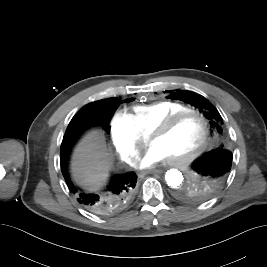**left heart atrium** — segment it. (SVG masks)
I'll return each mask as SVG.
<instances>
[{"mask_svg": "<svg viewBox=\"0 0 267 267\" xmlns=\"http://www.w3.org/2000/svg\"><path fill=\"white\" fill-rule=\"evenodd\" d=\"M167 159V155L159 147L152 146L140 160V166L143 168L152 167Z\"/></svg>", "mask_w": 267, "mask_h": 267, "instance_id": "left-heart-atrium-1", "label": "left heart atrium"}]
</instances>
